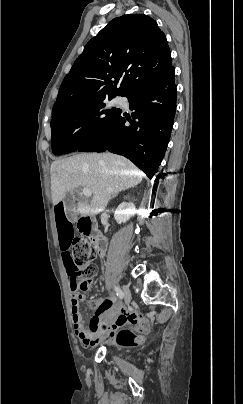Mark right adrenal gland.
I'll list each match as a JSON object with an SVG mask.
<instances>
[{
	"label": "right adrenal gland",
	"instance_id": "obj_1",
	"mask_svg": "<svg viewBox=\"0 0 243 404\" xmlns=\"http://www.w3.org/2000/svg\"><path fill=\"white\" fill-rule=\"evenodd\" d=\"M115 196H117V192H116V194H113L112 198H115Z\"/></svg>",
	"mask_w": 243,
	"mask_h": 404
}]
</instances>
